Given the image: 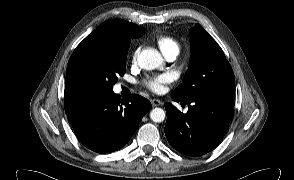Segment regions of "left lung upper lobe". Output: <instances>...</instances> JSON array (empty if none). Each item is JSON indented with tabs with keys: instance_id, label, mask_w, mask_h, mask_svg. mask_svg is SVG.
I'll return each mask as SVG.
<instances>
[{
	"instance_id": "left-lung-upper-lobe-1",
	"label": "left lung upper lobe",
	"mask_w": 294,
	"mask_h": 180,
	"mask_svg": "<svg viewBox=\"0 0 294 180\" xmlns=\"http://www.w3.org/2000/svg\"><path fill=\"white\" fill-rule=\"evenodd\" d=\"M190 33L191 65L172 96L234 99V73L220 46L199 24Z\"/></svg>"
}]
</instances>
